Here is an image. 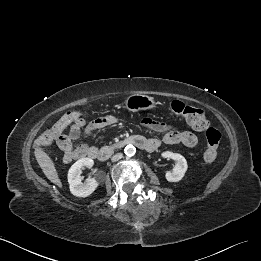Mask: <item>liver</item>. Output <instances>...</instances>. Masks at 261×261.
<instances>
[{"label":"liver","mask_w":261,"mask_h":261,"mask_svg":"<svg viewBox=\"0 0 261 261\" xmlns=\"http://www.w3.org/2000/svg\"><path fill=\"white\" fill-rule=\"evenodd\" d=\"M35 157L40 165L42 171L45 176L55 185L62 188V182L59 179L58 172L55 168V165L52 159L48 156V154L40 147L35 148Z\"/></svg>","instance_id":"6515ba94"}]
</instances>
